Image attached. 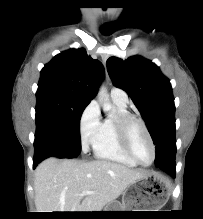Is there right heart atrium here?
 Instances as JSON below:
<instances>
[{"instance_id": "1", "label": "right heart atrium", "mask_w": 203, "mask_h": 219, "mask_svg": "<svg viewBox=\"0 0 203 219\" xmlns=\"http://www.w3.org/2000/svg\"><path fill=\"white\" fill-rule=\"evenodd\" d=\"M101 114L98 104L90 102L81 114L79 121V133L83 151H87L93 145L99 127Z\"/></svg>"}]
</instances>
